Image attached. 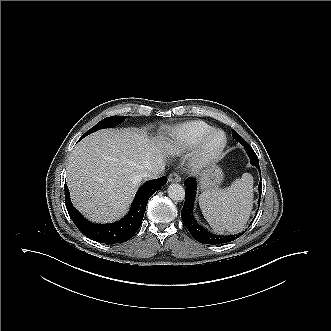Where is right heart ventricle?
<instances>
[{
  "mask_svg": "<svg viewBox=\"0 0 331 331\" xmlns=\"http://www.w3.org/2000/svg\"><path fill=\"white\" fill-rule=\"evenodd\" d=\"M212 126L201 120H191L177 124L169 129L165 148L176 153L194 147Z\"/></svg>",
  "mask_w": 331,
  "mask_h": 331,
  "instance_id": "e07e8e85",
  "label": "right heart ventricle"
}]
</instances>
